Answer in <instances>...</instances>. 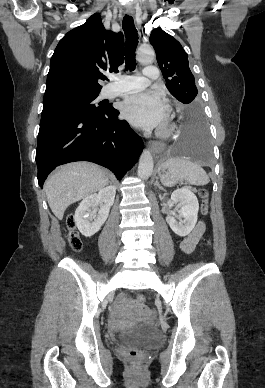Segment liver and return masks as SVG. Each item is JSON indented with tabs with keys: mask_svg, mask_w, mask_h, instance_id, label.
Here are the masks:
<instances>
[{
	"mask_svg": "<svg viewBox=\"0 0 265 388\" xmlns=\"http://www.w3.org/2000/svg\"><path fill=\"white\" fill-rule=\"evenodd\" d=\"M108 184V176L100 166L90 162H74L55 170L47 178L44 190L54 216L62 220L70 204L99 192Z\"/></svg>",
	"mask_w": 265,
	"mask_h": 388,
	"instance_id": "1",
	"label": "liver"
}]
</instances>
